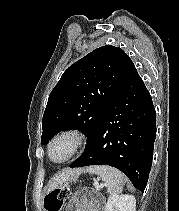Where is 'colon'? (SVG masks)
<instances>
[{"mask_svg":"<svg viewBox=\"0 0 179 211\" xmlns=\"http://www.w3.org/2000/svg\"><path fill=\"white\" fill-rule=\"evenodd\" d=\"M69 195L66 188H57L51 191L44 200L47 211H60Z\"/></svg>","mask_w":179,"mask_h":211,"instance_id":"obj_1","label":"colon"}]
</instances>
